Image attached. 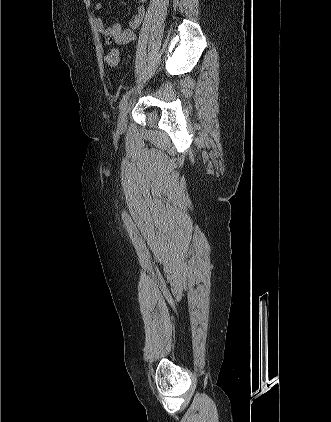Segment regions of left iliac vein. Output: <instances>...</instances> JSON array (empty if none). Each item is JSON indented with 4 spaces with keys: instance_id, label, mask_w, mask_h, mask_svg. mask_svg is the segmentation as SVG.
Listing matches in <instances>:
<instances>
[{
    "instance_id": "1",
    "label": "left iliac vein",
    "mask_w": 331,
    "mask_h": 422,
    "mask_svg": "<svg viewBox=\"0 0 331 422\" xmlns=\"http://www.w3.org/2000/svg\"><path fill=\"white\" fill-rule=\"evenodd\" d=\"M128 109H129V101H126V103L124 104L121 112H120V116L118 119V129L121 132H124L127 128V113H128Z\"/></svg>"
}]
</instances>
